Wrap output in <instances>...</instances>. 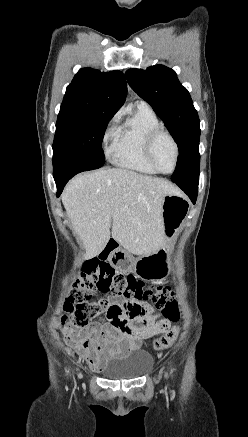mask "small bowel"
Instances as JSON below:
<instances>
[{"label": "small bowel", "instance_id": "small-bowel-1", "mask_svg": "<svg viewBox=\"0 0 248 437\" xmlns=\"http://www.w3.org/2000/svg\"><path fill=\"white\" fill-rule=\"evenodd\" d=\"M106 307L109 325L94 324L86 330L71 327L63 329L65 339L84 352L90 366L100 370L112 357H124L136 350L141 341L162 332L161 313L152 314L150 308L128 294H111Z\"/></svg>", "mask_w": 248, "mask_h": 437}]
</instances>
